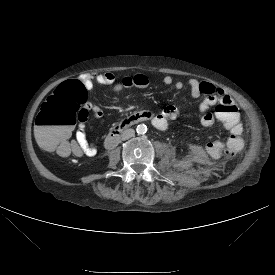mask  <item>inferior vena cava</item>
<instances>
[{"label": "inferior vena cava", "instance_id": "602c4592", "mask_svg": "<svg viewBox=\"0 0 275 275\" xmlns=\"http://www.w3.org/2000/svg\"><path fill=\"white\" fill-rule=\"evenodd\" d=\"M135 135V131L133 129H126L122 132L121 138L122 140H127Z\"/></svg>", "mask_w": 275, "mask_h": 275}]
</instances>
